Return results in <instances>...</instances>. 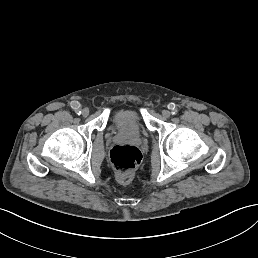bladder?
Wrapping results in <instances>:
<instances>
[{
	"instance_id": "bladder-1",
	"label": "bladder",
	"mask_w": 258,
	"mask_h": 258,
	"mask_svg": "<svg viewBox=\"0 0 258 258\" xmlns=\"http://www.w3.org/2000/svg\"><path fill=\"white\" fill-rule=\"evenodd\" d=\"M116 124L119 130L130 135H137L142 129L141 118L134 111H124L117 114Z\"/></svg>"
}]
</instances>
